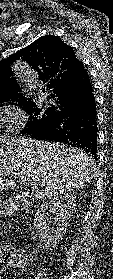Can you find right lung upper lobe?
<instances>
[{"mask_svg": "<svg viewBox=\"0 0 113 279\" xmlns=\"http://www.w3.org/2000/svg\"><path fill=\"white\" fill-rule=\"evenodd\" d=\"M20 56L38 73L39 80L47 83V88L51 92L49 97H58L59 100L69 97L89 78L74 49L58 36L46 35L0 61V102L10 99L18 100L21 104H24L23 100L25 103L32 102L31 100L27 102L18 93L21 89L12 78L10 64Z\"/></svg>", "mask_w": 113, "mask_h": 279, "instance_id": "obj_1", "label": "right lung upper lobe"}]
</instances>
